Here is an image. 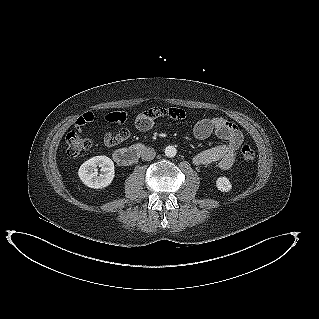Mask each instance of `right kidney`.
<instances>
[{
  "mask_svg": "<svg viewBox=\"0 0 319 319\" xmlns=\"http://www.w3.org/2000/svg\"><path fill=\"white\" fill-rule=\"evenodd\" d=\"M98 166L101 167L100 174H98ZM114 174V163L107 156H95L84 162L78 170L81 181L94 189L109 186L114 179Z\"/></svg>",
  "mask_w": 319,
  "mask_h": 319,
  "instance_id": "obj_1",
  "label": "right kidney"
}]
</instances>
